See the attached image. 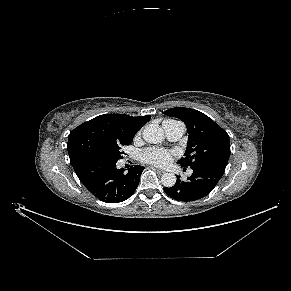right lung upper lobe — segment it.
Segmentation results:
<instances>
[{
	"instance_id": "1",
	"label": "right lung upper lobe",
	"mask_w": 291,
	"mask_h": 291,
	"mask_svg": "<svg viewBox=\"0 0 291 291\" xmlns=\"http://www.w3.org/2000/svg\"><path fill=\"white\" fill-rule=\"evenodd\" d=\"M151 117L103 114L71 131L67 149L70 161L88 156L94 149L115 143L131 142L137 130Z\"/></svg>"
}]
</instances>
